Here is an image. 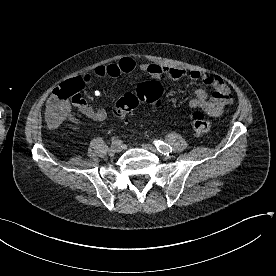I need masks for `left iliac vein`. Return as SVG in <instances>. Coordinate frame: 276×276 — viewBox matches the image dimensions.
Here are the masks:
<instances>
[{
  "instance_id": "left-iliac-vein-1",
  "label": "left iliac vein",
  "mask_w": 276,
  "mask_h": 276,
  "mask_svg": "<svg viewBox=\"0 0 276 276\" xmlns=\"http://www.w3.org/2000/svg\"><path fill=\"white\" fill-rule=\"evenodd\" d=\"M143 147H145V148H148L150 151H152V152H154V153H156V154H160L159 153V151H158V149H156L154 146H150V145H143ZM163 154V153H162ZM165 155V154H164Z\"/></svg>"
}]
</instances>
